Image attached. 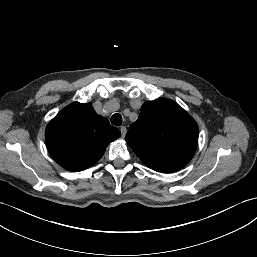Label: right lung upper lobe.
I'll use <instances>...</instances> for the list:
<instances>
[{
  "instance_id": "cb5924a9",
  "label": "right lung upper lobe",
  "mask_w": 257,
  "mask_h": 257,
  "mask_svg": "<svg viewBox=\"0 0 257 257\" xmlns=\"http://www.w3.org/2000/svg\"><path fill=\"white\" fill-rule=\"evenodd\" d=\"M120 135L118 128L97 115L91 103L74 102L47 125L45 139L49 153L60 166L82 171L95 164Z\"/></svg>"
}]
</instances>
